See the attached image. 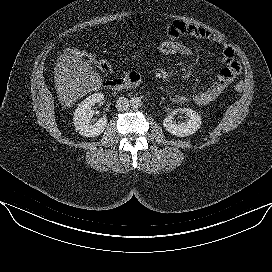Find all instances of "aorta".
<instances>
[{"label": "aorta", "mask_w": 272, "mask_h": 272, "mask_svg": "<svg viewBox=\"0 0 272 272\" xmlns=\"http://www.w3.org/2000/svg\"><path fill=\"white\" fill-rule=\"evenodd\" d=\"M129 103H130V106H131V108L132 109H138V108H140L141 107V105H142V101H141V98H139V97H132L131 99H130V101H129Z\"/></svg>", "instance_id": "aorta-1"}]
</instances>
